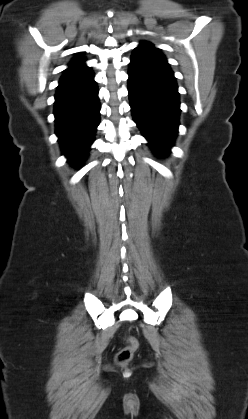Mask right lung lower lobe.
Here are the masks:
<instances>
[{
    "instance_id": "1",
    "label": "right lung lower lobe",
    "mask_w": 248,
    "mask_h": 419,
    "mask_svg": "<svg viewBox=\"0 0 248 419\" xmlns=\"http://www.w3.org/2000/svg\"><path fill=\"white\" fill-rule=\"evenodd\" d=\"M94 74L85 64L64 71L55 95L56 135L68 161L81 163L94 141L101 108Z\"/></svg>"
}]
</instances>
